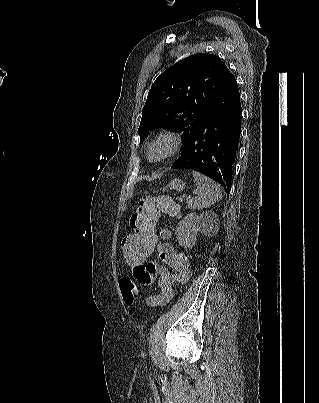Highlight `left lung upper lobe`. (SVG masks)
<instances>
[{
	"mask_svg": "<svg viewBox=\"0 0 319 403\" xmlns=\"http://www.w3.org/2000/svg\"><path fill=\"white\" fill-rule=\"evenodd\" d=\"M219 57L195 54L174 64L154 81L142 111L140 142L154 128L183 132L182 152L212 101L230 76Z\"/></svg>",
	"mask_w": 319,
	"mask_h": 403,
	"instance_id": "obj_1",
	"label": "left lung upper lobe"
}]
</instances>
